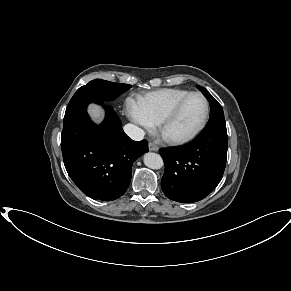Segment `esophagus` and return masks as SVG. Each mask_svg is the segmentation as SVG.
I'll list each match as a JSON object with an SVG mask.
<instances>
[{
    "label": "esophagus",
    "instance_id": "esophagus-1",
    "mask_svg": "<svg viewBox=\"0 0 291 291\" xmlns=\"http://www.w3.org/2000/svg\"><path fill=\"white\" fill-rule=\"evenodd\" d=\"M148 147H149L150 151H158L159 150L158 146L156 144H154L153 142H150L148 144Z\"/></svg>",
    "mask_w": 291,
    "mask_h": 291
}]
</instances>
